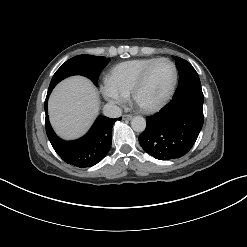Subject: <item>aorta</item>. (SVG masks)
<instances>
[{"instance_id":"aorta-1","label":"aorta","mask_w":247,"mask_h":247,"mask_svg":"<svg viewBox=\"0 0 247 247\" xmlns=\"http://www.w3.org/2000/svg\"><path fill=\"white\" fill-rule=\"evenodd\" d=\"M131 127L136 132H143L146 127V121L141 116H135L131 121Z\"/></svg>"}]
</instances>
